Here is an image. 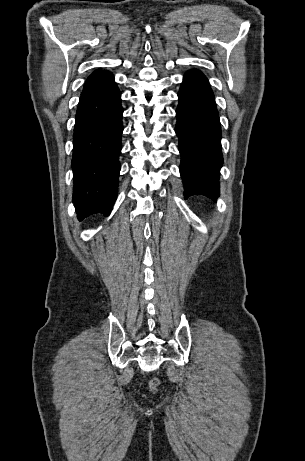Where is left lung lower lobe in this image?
<instances>
[{
  "instance_id": "obj_1",
  "label": "left lung lower lobe",
  "mask_w": 305,
  "mask_h": 461,
  "mask_svg": "<svg viewBox=\"0 0 305 461\" xmlns=\"http://www.w3.org/2000/svg\"><path fill=\"white\" fill-rule=\"evenodd\" d=\"M175 132L181 154L180 173L185 198L202 194L219 196L221 127L213 91L198 70L188 71L178 93Z\"/></svg>"
}]
</instances>
